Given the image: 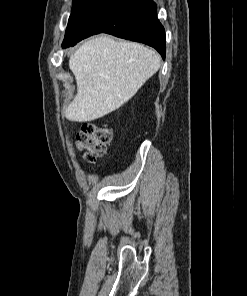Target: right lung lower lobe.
I'll return each instance as SVG.
<instances>
[{"label": "right lung lower lobe", "instance_id": "obj_1", "mask_svg": "<svg viewBox=\"0 0 247 296\" xmlns=\"http://www.w3.org/2000/svg\"><path fill=\"white\" fill-rule=\"evenodd\" d=\"M102 32L147 44L165 58V30L152 0H109L89 21L84 38Z\"/></svg>", "mask_w": 247, "mask_h": 296}]
</instances>
